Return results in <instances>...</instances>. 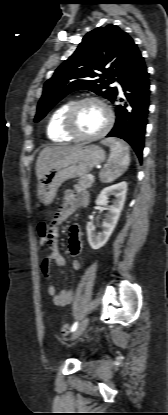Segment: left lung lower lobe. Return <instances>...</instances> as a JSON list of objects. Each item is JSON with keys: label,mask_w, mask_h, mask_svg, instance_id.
<instances>
[{"label": "left lung lower lobe", "mask_w": 168, "mask_h": 415, "mask_svg": "<svg viewBox=\"0 0 168 415\" xmlns=\"http://www.w3.org/2000/svg\"><path fill=\"white\" fill-rule=\"evenodd\" d=\"M149 74L141 55H137L120 81L124 92L123 104L116 105L118 91L113 100L116 122L106 137H118L128 142L139 160L142 159L144 137L149 108Z\"/></svg>", "instance_id": "left-lung-lower-lobe-1"}]
</instances>
